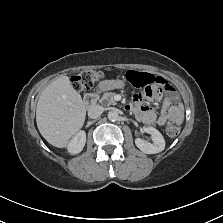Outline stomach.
I'll return each instance as SVG.
<instances>
[{
	"label": "stomach",
	"instance_id": "obj_1",
	"mask_svg": "<svg viewBox=\"0 0 223 223\" xmlns=\"http://www.w3.org/2000/svg\"><path fill=\"white\" fill-rule=\"evenodd\" d=\"M123 87V84L121 81L119 80H106V81H102L99 83V89L101 91H105V90H111L114 88H121Z\"/></svg>",
	"mask_w": 223,
	"mask_h": 223
}]
</instances>
